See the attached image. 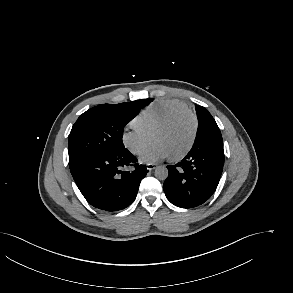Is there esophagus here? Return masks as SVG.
<instances>
[{
    "label": "esophagus",
    "mask_w": 293,
    "mask_h": 293,
    "mask_svg": "<svg viewBox=\"0 0 293 293\" xmlns=\"http://www.w3.org/2000/svg\"><path fill=\"white\" fill-rule=\"evenodd\" d=\"M146 167L149 171H152L153 169L156 168V165L155 164H147Z\"/></svg>",
    "instance_id": "esophagus-1"
}]
</instances>
